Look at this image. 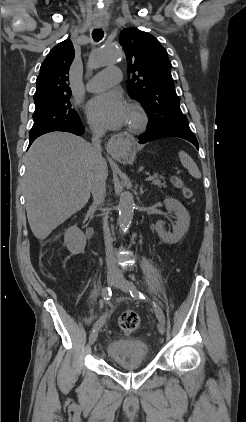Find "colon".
<instances>
[{"label": "colon", "mask_w": 246, "mask_h": 422, "mask_svg": "<svg viewBox=\"0 0 246 422\" xmlns=\"http://www.w3.org/2000/svg\"><path fill=\"white\" fill-rule=\"evenodd\" d=\"M172 182L177 188L182 190L183 195L186 198L191 197L192 195L191 189L187 187L180 178L173 177ZM118 325L121 328V330L124 331L125 333H132L138 329L140 325V317L135 311H132V310L124 311L118 319Z\"/></svg>", "instance_id": "5ec220e1"}]
</instances>
